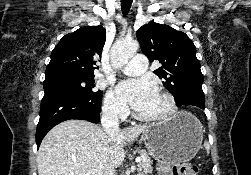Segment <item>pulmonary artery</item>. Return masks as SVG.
<instances>
[{"instance_id":"1","label":"pulmonary artery","mask_w":251,"mask_h":175,"mask_svg":"<svg viewBox=\"0 0 251 175\" xmlns=\"http://www.w3.org/2000/svg\"><path fill=\"white\" fill-rule=\"evenodd\" d=\"M134 62H130L124 66L120 71L124 74L134 76H144L145 67H147V58L143 55V52H138V55H134Z\"/></svg>"}]
</instances>
